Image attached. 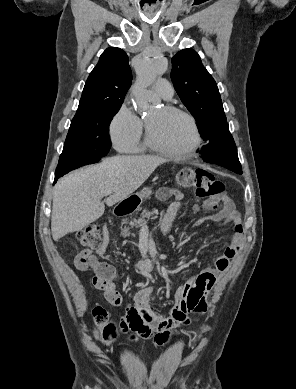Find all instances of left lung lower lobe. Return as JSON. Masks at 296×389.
<instances>
[{
	"instance_id": "left-lung-lower-lobe-1",
	"label": "left lung lower lobe",
	"mask_w": 296,
	"mask_h": 389,
	"mask_svg": "<svg viewBox=\"0 0 296 389\" xmlns=\"http://www.w3.org/2000/svg\"><path fill=\"white\" fill-rule=\"evenodd\" d=\"M204 162L223 166L237 174H242L236 145L229 131L228 124L216 130L208 142L197 150Z\"/></svg>"
}]
</instances>
